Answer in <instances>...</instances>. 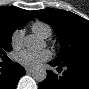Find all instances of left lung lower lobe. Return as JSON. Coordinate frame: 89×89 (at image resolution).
I'll use <instances>...</instances> for the list:
<instances>
[{
  "label": "left lung lower lobe",
  "instance_id": "left-lung-lower-lobe-1",
  "mask_svg": "<svg viewBox=\"0 0 89 89\" xmlns=\"http://www.w3.org/2000/svg\"><path fill=\"white\" fill-rule=\"evenodd\" d=\"M51 66H58V70L64 72L58 76L48 70L47 77L38 84L39 89H89V63L79 62L70 65H61L52 61Z\"/></svg>",
  "mask_w": 89,
  "mask_h": 89
}]
</instances>
